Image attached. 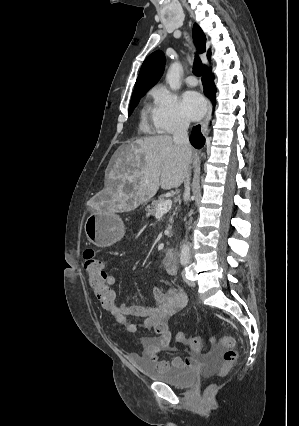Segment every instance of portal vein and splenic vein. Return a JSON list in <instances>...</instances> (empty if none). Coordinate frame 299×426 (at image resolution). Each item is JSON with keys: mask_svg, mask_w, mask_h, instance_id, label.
<instances>
[{"mask_svg": "<svg viewBox=\"0 0 299 426\" xmlns=\"http://www.w3.org/2000/svg\"><path fill=\"white\" fill-rule=\"evenodd\" d=\"M171 206H172V200L171 199H168L165 202L160 203L158 205L156 214L159 215V214L166 213L171 208Z\"/></svg>", "mask_w": 299, "mask_h": 426, "instance_id": "obj_1", "label": "portal vein and splenic vein"}]
</instances>
